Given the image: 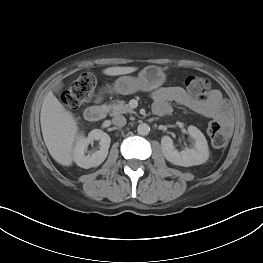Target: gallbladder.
<instances>
[{
  "label": "gallbladder",
  "instance_id": "1",
  "mask_svg": "<svg viewBox=\"0 0 263 263\" xmlns=\"http://www.w3.org/2000/svg\"><path fill=\"white\" fill-rule=\"evenodd\" d=\"M63 88V83L62 82H58L53 86V90L54 92L58 93L60 92V90Z\"/></svg>",
  "mask_w": 263,
  "mask_h": 263
}]
</instances>
